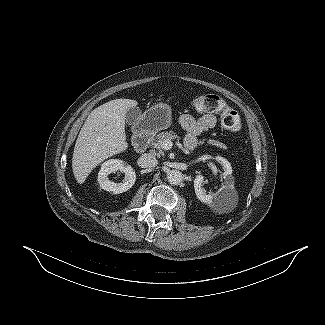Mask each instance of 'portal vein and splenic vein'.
<instances>
[{"label": "portal vein and splenic vein", "mask_w": 325, "mask_h": 325, "mask_svg": "<svg viewBox=\"0 0 325 325\" xmlns=\"http://www.w3.org/2000/svg\"><path fill=\"white\" fill-rule=\"evenodd\" d=\"M173 146V142L171 140H165L162 142L161 147L164 150H170Z\"/></svg>", "instance_id": "portal-vein-and-splenic-vein-1"}]
</instances>
